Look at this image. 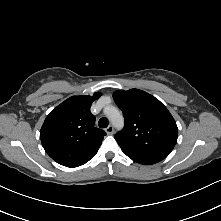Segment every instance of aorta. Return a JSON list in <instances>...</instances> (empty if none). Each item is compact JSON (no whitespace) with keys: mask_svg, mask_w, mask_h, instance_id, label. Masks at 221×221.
<instances>
[{"mask_svg":"<svg viewBox=\"0 0 221 221\" xmlns=\"http://www.w3.org/2000/svg\"><path fill=\"white\" fill-rule=\"evenodd\" d=\"M108 118L116 127L120 128L123 126L124 119L118 109L112 107L111 111L108 113Z\"/></svg>","mask_w":221,"mask_h":221,"instance_id":"aorta-1","label":"aorta"}]
</instances>
